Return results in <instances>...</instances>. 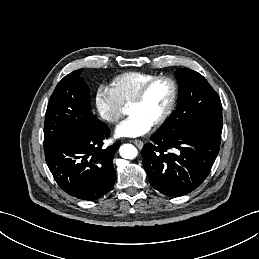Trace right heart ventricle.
Here are the masks:
<instances>
[{
    "label": "right heart ventricle",
    "mask_w": 259,
    "mask_h": 259,
    "mask_svg": "<svg viewBox=\"0 0 259 259\" xmlns=\"http://www.w3.org/2000/svg\"><path fill=\"white\" fill-rule=\"evenodd\" d=\"M154 77V74L145 72H125L116 76L112 81V88L128 105L141 86Z\"/></svg>",
    "instance_id": "1"
}]
</instances>
